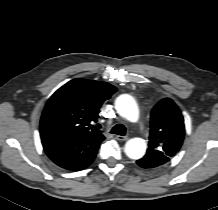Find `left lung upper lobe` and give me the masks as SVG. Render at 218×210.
<instances>
[{
	"mask_svg": "<svg viewBox=\"0 0 218 210\" xmlns=\"http://www.w3.org/2000/svg\"><path fill=\"white\" fill-rule=\"evenodd\" d=\"M147 161L159 166L168 162L180 149L185 133L184 119L170 98L158 102L151 112Z\"/></svg>",
	"mask_w": 218,
	"mask_h": 210,
	"instance_id": "1",
	"label": "left lung upper lobe"
}]
</instances>
